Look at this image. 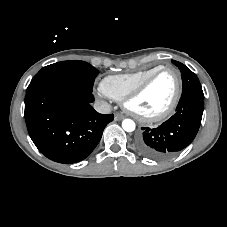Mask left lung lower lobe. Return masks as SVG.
Masks as SVG:
<instances>
[{"instance_id": "1", "label": "left lung lower lobe", "mask_w": 227, "mask_h": 227, "mask_svg": "<svg viewBox=\"0 0 227 227\" xmlns=\"http://www.w3.org/2000/svg\"><path fill=\"white\" fill-rule=\"evenodd\" d=\"M203 92L189 91L181 95L176 113L159 127H142L136 148L144 156L161 160L175 155L195 138L204 108Z\"/></svg>"}]
</instances>
